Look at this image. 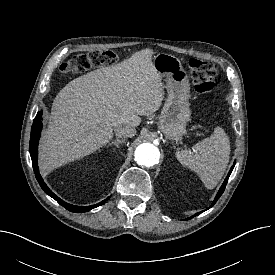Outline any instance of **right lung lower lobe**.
Wrapping results in <instances>:
<instances>
[{
	"mask_svg": "<svg viewBox=\"0 0 275 275\" xmlns=\"http://www.w3.org/2000/svg\"><path fill=\"white\" fill-rule=\"evenodd\" d=\"M42 111H39L34 119V122L31 127V136H30V144H29V150H30V155L32 159V165L34 169V173L36 176L37 181L39 182V185L41 188L47 193L49 196H51L53 199H55L59 204H61L64 208L71 212L75 213H82L89 211L93 208H96L100 205L105 204L106 200H108L110 197H108L106 200L101 201L100 203L92 206H76V205H71L66 202H64L62 199H60L57 195H55L45 184L43 181L41 175L39 174V169H38V164H37V146H38V141L40 137V132L42 130Z\"/></svg>",
	"mask_w": 275,
	"mask_h": 275,
	"instance_id": "98d812e1",
	"label": "right lung lower lobe"
}]
</instances>
